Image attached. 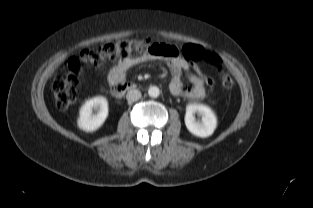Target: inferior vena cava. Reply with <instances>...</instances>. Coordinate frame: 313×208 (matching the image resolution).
Listing matches in <instances>:
<instances>
[{
  "label": "inferior vena cava",
  "mask_w": 313,
  "mask_h": 208,
  "mask_svg": "<svg viewBox=\"0 0 313 208\" xmlns=\"http://www.w3.org/2000/svg\"><path fill=\"white\" fill-rule=\"evenodd\" d=\"M141 97V92L137 89H131L127 92L126 99L129 102H134L139 100Z\"/></svg>",
  "instance_id": "1"
}]
</instances>
